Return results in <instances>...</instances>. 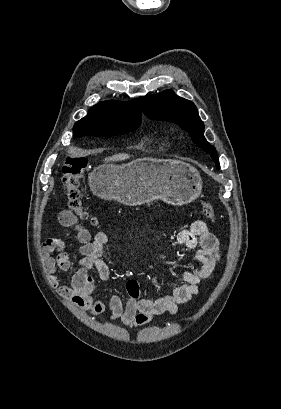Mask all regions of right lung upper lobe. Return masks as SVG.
Listing matches in <instances>:
<instances>
[{"label": "right lung upper lobe", "instance_id": "obj_1", "mask_svg": "<svg viewBox=\"0 0 281 409\" xmlns=\"http://www.w3.org/2000/svg\"><path fill=\"white\" fill-rule=\"evenodd\" d=\"M141 109L138 99L127 103L105 101L94 105L88 114L75 123L73 129L80 127H129L140 125Z\"/></svg>", "mask_w": 281, "mask_h": 409}]
</instances>
